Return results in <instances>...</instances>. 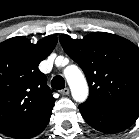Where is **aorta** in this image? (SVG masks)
I'll use <instances>...</instances> for the list:
<instances>
[{
  "instance_id": "obj_1",
  "label": "aorta",
  "mask_w": 139,
  "mask_h": 139,
  "mask_svg": "<svg viewBox=\"0 0 139 139\" xmlns=\"http://www.w3.org/2000/svg\"><path fill=\"white\" fill-rule=\"evenodd\" d=\"M64 76L71 89L73 99L79 103L84 102L88 97L89 89L80 69L75 65H70L64 69Z\"/></svg>"
}]
</instances>
